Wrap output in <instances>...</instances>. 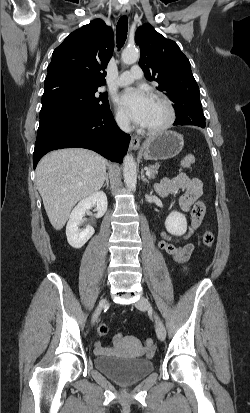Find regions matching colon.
<instances>
[{"label":"colon","instance_id":"obj_1","mask_svg":"<svg viewBox=\"0 0 250 413\" xmlns=\"http://www.w3.org/2000/svg\"><path fill=\"white\" fill-rule=\"evenodd\" d=\"M194 163H195V157L193 155H187L181 160L180 165L182 168H188ZM213 241H214L213 233L211 232V230L206 229L203 233L204 245L210 248L213 244ZM97 331L100 336H105L108 333V326L102 323L99 325ZM122 337H123V332L117 331L116 334L112 336L110 340L113 343V345H118V342L121 340ZM145 346L149 353L153 352L155 349V343L152 339H147L145 341Z\"/></svg>","mask_w":250,"mask_h":413}]
</instances>
